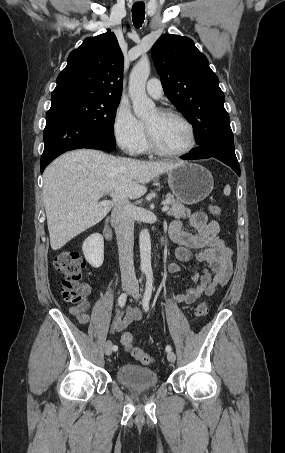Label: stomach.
<instances>
[{"label": "stomach", "instance_id": "0dacf381", "mask_svg": "<svg viewBox=\"0 0 285 453\" xmlns=\"http://www.w3.org/2000/svg\"><path fill=\"white\" fill-rule=\"evenodd\" d=\"M168 185L179 202L193 205L210 195L214 180L205 167L181 162L168 172Z\"/></svg>", "mask_w": 285, "mask_h": 453}]
</instances>
